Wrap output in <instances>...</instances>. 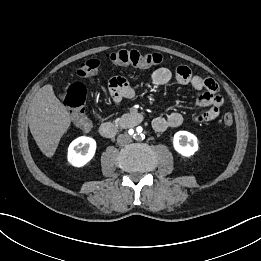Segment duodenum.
Masks as SVG:
<instances>
[{
  "label": "duodenum",
  "instance_id": "obj_1",
  "mask_svg": "<svg viewBox=\"0 0 261 261\" xmlns=\"http://www.w3.org/2000/svg\"><path fill=\"white\" fill-rule=\"evenodd\" d=\"M143 121V115L138 112H131L122 116L118 121L105 122L99 127V133L104 138L114 137L120 130L133 128Z\"/></svg>",
  "mask_w": 261,
  "mask_h": 261
}]
</instances>
